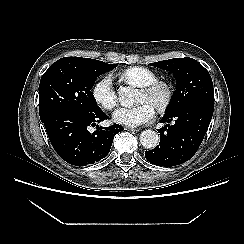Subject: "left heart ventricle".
<instances>
[{
  "instance_id": "obj_1",
  "label": "left heart ventricle",
  "mask_w": 244,
  "mask_h": 244,
  "mask_svg": "<svg viewBox=\"0 0 244 244\" xmlns=\"http://www.w3.org/2000/svg\"><path fill=\"white\" fill-rule=\"evenodd\" d=\"M139 102H141V103L147 102L152 105V101L143 92H140Z\"/></svg>"
}]
</instances>
